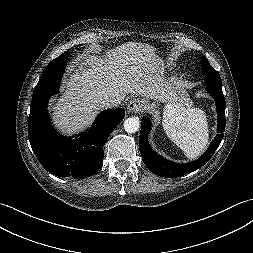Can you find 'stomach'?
<instances>
[{"mask_svg": "<svg viewBox=\"0 0 253 253\" xmlns=\"http://www.w3.org/2000/svg\"><path fill=\"white\" fill-rule=\"evenodd\" d=\"M180 97H181V93L178 90L171 88L167 90V97L165 101L170 102L171 99L179 100ZM142 103H143L144 108L148 110L155 111L157 108L155 105L149 104L147 100H142Z\"/></svg>", "mask_w": 253, "mask_h": 253, "instance_id": "obj_1", "label": "stomach"}]
</instances>
